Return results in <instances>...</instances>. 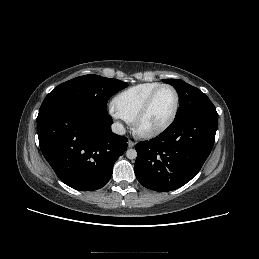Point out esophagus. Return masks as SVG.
I'll use <instances>...</instances> for the list:
<instances>
[{"instance_id":"obj_1","label":"esophagus","mask_w":259,"mask_h":259,"mask_svg":"<svg viewBox=\"0 0 259 259\" xmlns=\"http://www.w3.org/2000/svg\"><path fill=\"white\" fill-rule=\"evenodd\" d=\"M135 146V143L132 141V140H129L128 141V147L129 148H132V147H134Z\"/></svg>"}]
</instances>
